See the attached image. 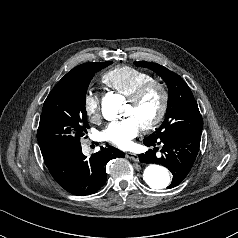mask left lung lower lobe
Returning <instances> with one entry per match:
<instances>
[{
	"mask_svg": "<svg viewBox=\"0 0 238 238\" xmlns=\"http://www.w3.org/2000/svg\"><path fill=\"white\" fill-rule=\"evenodd\" d=\"M201 133L182 132L166 135L158 139H144L146 146L161 145L162 156L157 157L154 150L139 155L142 163H158L168 168L173 179L168 188L180 184L191 170L199 151ZM156 150V149H155Z\"/></svg>",
	"mask_w": 238,
	"mask_h": 238,
	"instance_id": "0a47b994",
	"label": "left lung lower lobe"
}]
</instances>
